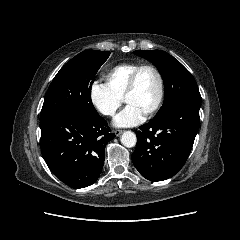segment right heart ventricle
Here are the masks:
<instances>
[{
	"mask_svg": "<svg viewBox=\"0 0 240 240\" xmlns=\"http://www.w3.org/2000/svg\"><path fill=\"white\" fill-rule=\"evenodd\" d=\"M140 66L136 62H123L112 67L106 74V83L119 96L123 97L132 73Z\"/></svg>",
	"mask_w": 240,
	"mask_h": 240,
	"instance_id": "e07e8e85",
	"label": "right heart ventricle"
}]
</instances>
